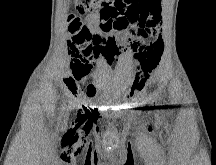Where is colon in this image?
Returning a JSON list of instances; mask_svg holds the SVG:
<instances>
[{
    "instance_id": "obj_1",
    "label": "colon",
    "mask_w": 216,
    "mask_h": 165,
    "mask_svg": "<svg viewBox=\"0 0 216 165\" xmlns=\"http://www.w3.org/2000/svg\"><path fill=\"white\" fill-rule=\"evenodd\" d=\"M131 2H134V0H82L77 10L80 14H84L85 12H92L101 8L117 9L119 5H131ZM68 21V31L71 35L69 41L71 61L82 62L86 66H95L99 56L105 57V51L108 46L107 39L91 31L78 16L71 15ZM147 37H152L154 41L137 54L140 61L141 74L145 78L159 63L163 51L158 28L147 30L144 33V38Z\"/></svg>"
}]
</instances>
